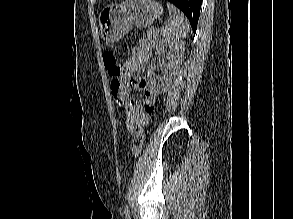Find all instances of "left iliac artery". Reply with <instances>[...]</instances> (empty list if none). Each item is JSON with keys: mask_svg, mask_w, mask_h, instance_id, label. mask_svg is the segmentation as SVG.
Returning a JSON list of instances; mask_svg holds the SVG:
<instances>
[{"mask_svg": "<svg viewBox=\"0 0 293 219\" xmlns=\"http://www.w3.org/2000/svg\"><path fill=\"white\" fill-rule=\"evenodd\" d=\"M125 215H126V219H131L130 210L127 204L125 205Z\"/></svg>", "mask_w": 293, "mask_h": 219, "instance_id": "1", "label": "left iliac artery"}]
</instances>
